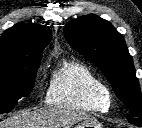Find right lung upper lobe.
<instances>
[{
	"label": "right lung upper lobe",
	"mask_w": 142,
	"mask_h": 128,
	"mask_svg": "<svg viewBox=\"0 0 142 128\" xmlns=\"http://www.w3.org/2000/svg\"><path fill=\"white\" fill-rule=\"evenodd\" d=\"M52 32L42 25L19 23L0 38V76H14L27 64L41 60Z\"/></svg>",
	"instance_id": "obj_1"
}]
</instances>
